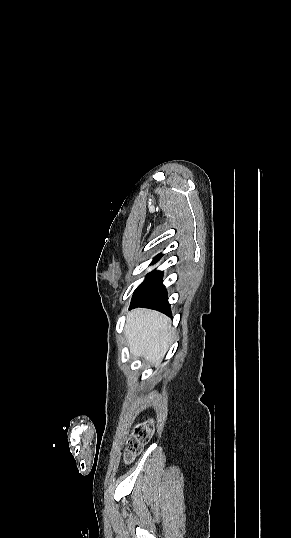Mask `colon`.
Returning <instances> with one entry per match:
<instances>
[{"label": "colon", "mask_w": 291, "mask_h": 538, "mask_svg": "<svg viewBox=\"0 0 291 538\" xmlns=\"http://www.w3.org/2000/svg\"><path fill=\"white\" fill-rule=\"evenodd\" d=\"M152 433L153 425L151 422H142L136 426L124 454V460L126 462L131 461L141 452L142 448L149 442Z\"/></svg>", "instance_id": "1"}]
</instances>
